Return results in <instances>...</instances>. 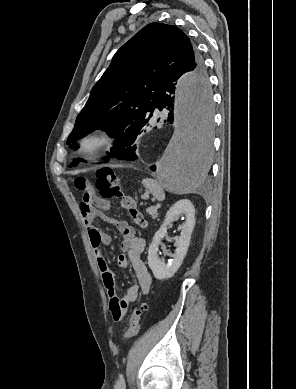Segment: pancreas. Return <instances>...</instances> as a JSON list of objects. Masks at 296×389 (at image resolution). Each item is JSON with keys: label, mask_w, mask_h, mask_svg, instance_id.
<instances>
[{"label": "pancreas", "mask_w": 296, "mask_h": 389, "mask_svg": "<svg viewBox=\"0 0 296 389\" xmlns=\"http://www.w3.org/2000/svg\"><path fill=\"white\" fill-rule=\"evenodd\" d=\"M157 207H151L148 209V212L152 215V217H156Z\"/></svg>", "instance_id": "cf45deb5"}]
</instances>
